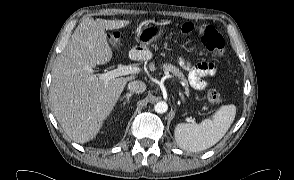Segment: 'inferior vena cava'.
Here are the masks:
<instances>
[{"label": "inferior vena cava", "mask_w": 294, "mask_h": 180, "mask_svg": "<svg viewBox=\"0 0 294 180\" xmlns=\"http://www.w3.org/2000/svg\"><path fill=\"white\" fill-rule=\"evenodd\" d=\"M128 89L135 93H142L146 90V85L140 80H133L128 83Z\"/></svg>", "instance_id": "inferior-vena-cava-1"}]
</instances>
